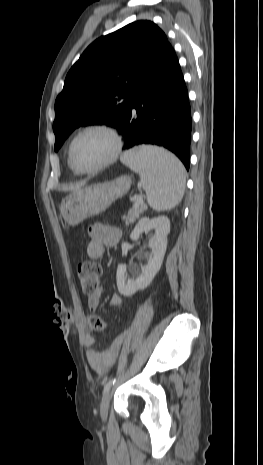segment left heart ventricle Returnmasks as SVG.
Instances as JSON below:
<instances>
[{"label":"left heart ventricle","instance_id":"1","mask_svg":"<svg viewBox=\"0 0 263 465\" xmlns=\"http://www.w3.org/2000/svg\"><path fill=\"white\" fill-rule=\"evenodd\" d=\"M114 143L103 131H90L78 138L73 148V156L78 166L90 169L110 157Z\"/></svg>","mask_w":263,"mask_h":465}]
</instances>
